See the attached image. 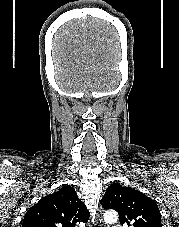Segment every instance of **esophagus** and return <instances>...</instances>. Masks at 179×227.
<instances>
[{
	"mask_svg": "<svg viewBox=\"0 0 179 227\" xmlns=\"http://www.w3.org/2000/svg\"><path fill=\"white\" fill-rule=\"evenodd\" d=\"M96 221H97V224H98L100 227H105V223H104V221H103V218H102V215H101V211H98V212H97Z\"/></svg>",
	"mask_w": 179,
	"mask_h": 227,
	"instance_id": "1",
	"label": "esophagus"
}]
</instances>
